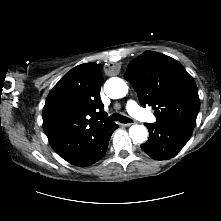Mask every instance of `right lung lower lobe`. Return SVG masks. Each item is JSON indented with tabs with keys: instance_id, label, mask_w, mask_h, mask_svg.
<instances>
[{
	"instance_id": "right-lung-lower-lobe-1",
	"label": "right lung lower lobe",
	"mask_w": 221,
	"mask_h": 221,
	"mask_svg": "<svg viewBox=\"0 0 221 221\" xmlns=\"http://www.w3.org/2000/svg\"><path fill=\"white\" fill-rule=\"evenodd\" d=\"M117 127V124L112 123L100 132L87 148L68 160V162L76 166H88L97 162L105 155L110 137Z\"/></svg>"
}]
</instances>
